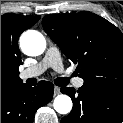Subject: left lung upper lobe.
Wrapping results in <instances>:
<instances>
[{
    "mask_svg": "<svg viewBox=\"0 0 123 123\" xmlns=\"http://www.w3.org/2000/svg\"><path fill=\"white\" fill-rule=\"evenodd\" d=\"M42 25L77 65L84 84L123 92V34L117 27L90 12L48 15Z\"/></svg>",
    "mask_w": 123,
    "mask_h": 123,
    "instance_id": "left-lung-upper-lobe-1",
    "label": "left lung upper lobe"
}]
</instances>
